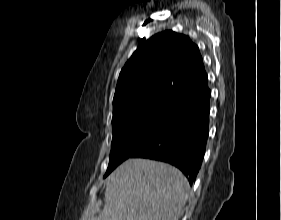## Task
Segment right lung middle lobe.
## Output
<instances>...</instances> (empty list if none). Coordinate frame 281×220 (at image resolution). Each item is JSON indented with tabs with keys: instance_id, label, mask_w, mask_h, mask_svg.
I'll use <instances>...</instances> for the list:
<instances>
[{
	"instance_id": "right-lung-middle-lobe-1",
	"label": "right lung middle lobe",
	"mask_w": 281,
	"mask_h": 220,
	"mask_svg": "<svg viewBox=\"0 0 281 220\" xmlns=\"http://www.w3.org/2000/svg\"><path fill=\"white\" fill-rule=\"evenodd\" d=\"M168 118L169 115L152 113L126 116L112 121V148L104 177L143 146Z\"/></svg>"
}]
</instances>
